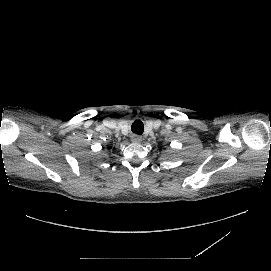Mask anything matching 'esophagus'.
Returning a JSON list of instances; mask_svg holds the SVG:
<instances>
[{
    "mask_svg": "<svg viewBox=\"0 0 271 271\" xmlns=\"http://www.w3.org/2000/svg\"><path fill=\"white\" fill-rule=\"evenodd\" d=\"M130 140L133 143H140L142 141V137L139 135H132Z\"/></svg>",
    "mask_w": 271,
    "mask_h": 271,
    "instance_id": "obj_1",
    "label": "esophagus"
}]
</instances>
